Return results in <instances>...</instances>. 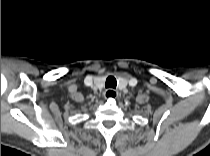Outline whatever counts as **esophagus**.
Here are the masks:
<instances>
[{"label":"esophagus","mask_w":210,"mask_h":156,"mask_svg":"<svg viewBox=\"0 0 210 156\" xmlns=\"http://www.w3.org/2000/svg\"><path fill=\"white\" fill-rule=\"evenodd\" d=\"M103 96H104V98H117L118 92L116 90H113V89H107L103 93Z\"/></svg>","instance_id":"34e87169"}]
</instances>
